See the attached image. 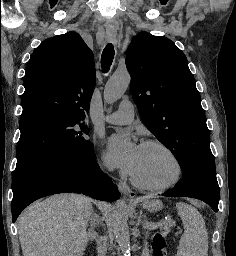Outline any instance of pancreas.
<instances>
[{
    "instance_id": "pancreas-1",
    "label": "pancreas",
    "mask_w": 236,
    "mask_h": 256,
    "mask_svg": "<svg viewBox=\"0 0 236 256\" xmlns=\"http://www.w3.org/2000/svg\"><path fill=\"white\" fill-rule=\"evenodd\" d=\"M145 230H157V228H155V226H150V228H145Z\"/></svg>"
}]
</instances>
